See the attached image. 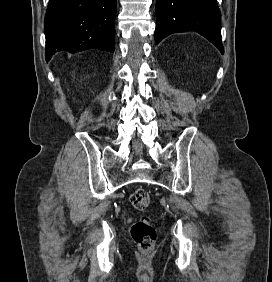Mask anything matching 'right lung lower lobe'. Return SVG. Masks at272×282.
I'll return each mask as SVG.
<instances>
[{
  "label": "right lung lower lobe",
  "mask_w": 272,
  "mask_h": 282,
  "mask_svg": "<svg viewBox=\"0 0 272 282\" xmlns=\"http://www.w3.org/2000/svg\"><path fill=\"white\" fill-rule=\"evenodd\" d=\"M116 0H50L45 15L46 60L65 50L114 52Z\"/></svg>",
  "instance_id": "98d812e1"
}]
</instances>
